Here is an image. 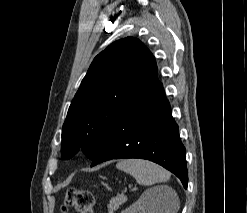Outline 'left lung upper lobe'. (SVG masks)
I'll return each mask as SVG.
<instances>
[{"label": "left lung upper lobe", "mask_w": 247, "mask_h": 213, "mask_svg": "<svg viewBox=\"0 0 247 213\" xmlns=\"http://www.w3.org/2000/svg\"><path fill=\"white\" fill-rule=\"evenodd\" d=\"M155 66L151 52L133 37L117 40L99 53L69 107L61 157L69 159L81 149L92 160Z\"/></svg>", "instance_id": "5c2ea615"}]
</instances>
